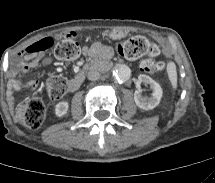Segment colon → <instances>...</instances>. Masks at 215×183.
Segmentation results:
<instances>
[{
  "label": "colon",
  "mask_w": 215,
  "mask_h": 183,
  "mask_svg": "<svg viewBox=\"0 0 215 183\" xmlns=\"http://www.w3.org/2000/svg\"><path fill=\"white\" fill-rule=\"evenodd\" d=\"M50 40H42L32 48L34 51L48 50L53 46ZM119 53L127 59L133 60L144 55L150 58L144 59L140 67L144 72L157 73L163 70L164 63L155 60L153 57L158 55L159 48L155 43L147 38L137 36L119 44ZM55 55L62 60H74L79 57L81 49L78 42L72 38L64 39L58 42L54 48ZM67 89V82L62 77L51 79L47 86V92L50 98L58 99ZM46 106L42 99L31 98L20 103L16 108V118L18 122L29 129L39 128L45 120Z\"/></svg>",
  "instance_id": "obj_1"
}]
</instances>
